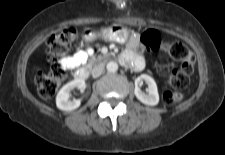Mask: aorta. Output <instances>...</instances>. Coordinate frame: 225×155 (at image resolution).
Here are the masks:
<instances>
[{
  "label": "aorta",
  "mask_w": 225,
  "mask_h": 155,
  "mask_svg": "<svg viewBox=\"0 0 225 155\" xmlns=\"http://www.w3.org/2000/svg\"><path fill=\"white\" fill-rule=\"evenodd\" d=\"M106 69L108 72H116L118 70V64L114 61H110L107 63Z\"/></svg>",
  "instance_id": "obj_1"
}]
</instances>
